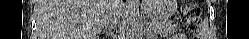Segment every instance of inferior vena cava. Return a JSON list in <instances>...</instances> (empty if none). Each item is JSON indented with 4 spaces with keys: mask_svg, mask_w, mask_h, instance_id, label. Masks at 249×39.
Wrapping results in <instances>:
<instances>
[{
    "mask_svg": "<svg viewBox=\"0 0 249 39\" xmlns=\"http://www.w3.org/2000/svg\"><path fill=\"white\" fill-rule=\"evenodd\" d=\"M119 2H121V0H114L112 11L108 16H106L103 22V28H108L111 30L115 29L120 16V13L117 11V5Z\"/></svg>",
    "mask_w": 249,
    "mask_h": 39,
    "instance_id": "602c4592",
    "label": "inferior vena cava"
}]
</instances>
